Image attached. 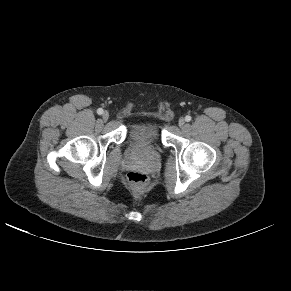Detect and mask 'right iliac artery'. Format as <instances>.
Masks as SVG:
<instances>
[{
    "instance_id": "1",
    "label": "right iliac artery",
    "mask_w": 291,
    "mask_h": 291,
    "mask_svg": "<svg viewBox=\"0 0 291 291\" xmlns=\"http://www.w3.org/2000/svg\"><path fill=\"white\" fill-rule=\"evenodd\" d=\"M97 113H98L99 115L103 114V109H102V108H99V109L97 110Z\"/></svg>"
}]
</instances>
